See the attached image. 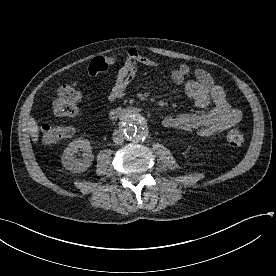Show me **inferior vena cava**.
I'll use <instances>...</instances> for the list:
<instances>
[{
  "mask_svg": "<svg viewBox=\"0 0 276 276\" xmlns=\"http://www.w3.org/2000/svg\"><path fill=\"white\" fill-rule=\"evenodd\" d=\"M124 141V135L121 131L116 130L113 132V142L115 144H122Z\"/></svg>",
  "mask_w": 276,
  "mask_h": 276,
  "instance_id": "inferior-vena-cava-1",
  "label": "inferior vena cava"
}]
</instances>
